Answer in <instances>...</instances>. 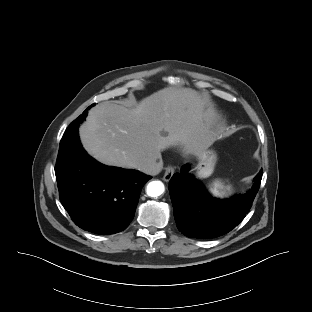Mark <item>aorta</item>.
I'll list each match as a JSON object with an SVG mask.
<instances>
[{
    "instance_id": "aorta-1",
    "label": "aorta",
    "mask_w": 312,
    "mask_h": 312,
    "mask_svg": "<svg viewBox=\"0 0 312 312\" xmlns=\"http://www.w3.org/2000/svg\"><path fill=\"white\" fill-rule=\"evenodd\" d=\"M165 191L164 184L161 181H151L146 188V193L152 198H157Z\"/></svg>"
}]
</instances>
